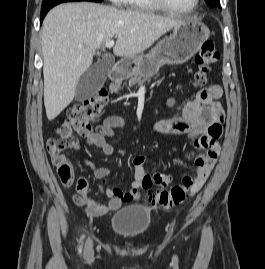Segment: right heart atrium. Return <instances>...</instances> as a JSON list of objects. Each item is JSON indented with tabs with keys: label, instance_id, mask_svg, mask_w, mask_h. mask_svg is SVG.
<instances>
[{
	"label": "right heart atrium",
	"instance_id": "d8ad5b80",
	"mask_svg": "<svg viewBox=\"0 0 265 269\" xmlns=\"http://www.w3.org/2000/svg\"><path fill=\"white\" fill-rule=\"evenodd\" d=\"M114 5H120L124 3V0H109Z\"/></svg>",
	"mask_w": 265,
	"mask_h": 269
}]
</instances>
